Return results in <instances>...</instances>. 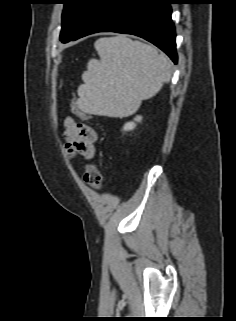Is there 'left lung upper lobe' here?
Instances as JSON below:
<instances>
[{
    "mask_svg": "<svg viewBox=\"0 0 236 321\" xmlns=\"http://www.w3.org/2000/svg\"><path fill=\"white\" fill-rule=\"evenodd\" d=\"M99 0H64L60 40L70 41L81 29Z\"/></svg>",
    "mask_w": 236,
    "mask_h": 321,
    "instance_id": "left-lung-upper-lobe-1",
    "label": "left lung upper lobe"
}]
</instances>
